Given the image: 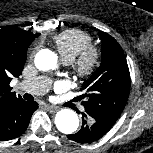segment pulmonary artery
I'll use <instances>...</instances> for the list:
<instances>
[{"label": "pulmonary artery", "instance_id": "e3ab8cb5", "mask_svg": "<svg viewBox=\"0 0 153 153\" xmlns=\"http://www.w3.org/2000/svg\"><path fill=\"white\" fill-rule=\"evenodd\" d=\"M50 85L51 80L48 77L38 76L22 81L19 88L34 95H42L49 90Z\"/></svg>", "mask_w": 153, "mask_h": 153}]
</instances>
